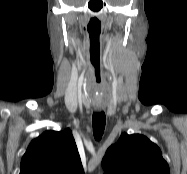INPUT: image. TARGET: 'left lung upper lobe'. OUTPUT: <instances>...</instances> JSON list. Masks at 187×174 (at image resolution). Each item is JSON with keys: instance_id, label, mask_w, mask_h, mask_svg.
Listing matches in <instances>:
<instances>
[{"instance_id": "left-lung-upper-lobe-1", "label": "left lung upper lobe", "mask_w": 187, "mask_h": 174, "mask_svg": "<svg viewBox=\"0 0 187 174\" xmlns=\"http://www.w3.org/2000/svg\"><path fill=\"white\" fill-rule=\"evenodd\" d=\"M105 174H170L159 147L140 134L123 133L102 162Z\"/></svg>"}]
</instances>
